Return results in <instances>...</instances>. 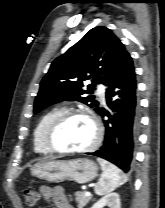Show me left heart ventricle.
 I'll return each instance as SVG.
<instances>
[{"label": "left heart ventricle", "instance_id": "b2bd125f", "mask_svg": "<svg viewBox=\"0 0 165 208\" xmlns=\"http://www.w3.org/2000/svg\"><path fill=\"white\" fill-rule=\"evenodd\" d=\"M94 137L91 122L84 117L67 119L54 133L53 140L63 149H80L88 146Z\"/></svg>", "mask_w": 165, "mask_h": 208}]
</instances>
